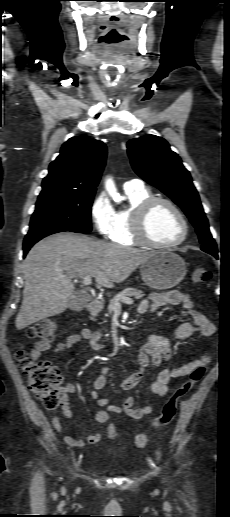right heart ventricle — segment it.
<instances>
[{"label":"right heart ventricle","mask_w":230,"mask_h":517,"mask_svg":"<svg viewBox=\"0 0 230 517\" xmlns=\"http://www.w3.org/2000/svg\"><path fill=\"white\" fill-rule=\"evenodd\" d=\"M125 193L130 206L128 209L116 213V225L110 239L113 243L121 246H134L138 244L133 234L134 211L144 200L152 197V193L144 187L142 189L125 190Z\"/></svg>","instance_id":"e07e8e85"}]
</instances>
